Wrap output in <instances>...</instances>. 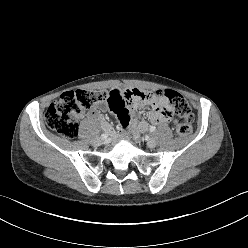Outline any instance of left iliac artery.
<instances>
[{
    "mask_svg": "<svg viewBox=\"0 0 248 248\" xmlns=\"http://www.w3.org/2000/svg\"><path fill=\"white\" fill-rule=\"evenodd\" d=\"M156 130V127H151L150 132H154Z\"/></svg>",
    "mask_w": 248,
    "mask_h": 248,
    "instance_id": "left-iliac-artery-1",
    "label": "left iliac artery"
}]
</instances>
